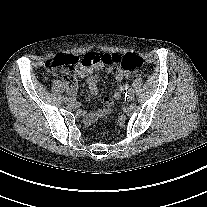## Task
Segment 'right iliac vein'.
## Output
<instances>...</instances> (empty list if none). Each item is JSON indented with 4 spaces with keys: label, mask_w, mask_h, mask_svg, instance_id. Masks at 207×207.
<instances>
[{
    "label": "right iliac vein",
    "mask_w": 207,
    "mask_h": 207,
    "mask_svg": "<svg viewBox=\"0 0 207 207\" xmlns=\"http://www.w3.org/2000/svg\"><path fill=\"white\" fill-rule=\"evenodd\" d=\"M67 104H71L72 103V98H68V99H66V101H65Z\"/></svg>",
    "instance_id": "obj_1"
}]
</instances>
